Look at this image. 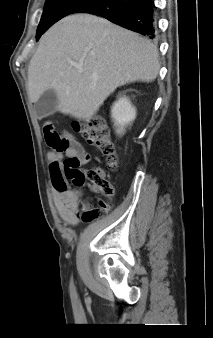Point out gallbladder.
Wrapping results in <instances>:
<instances>
[{"label":"gallbladder","instance_id":"gallbladder-1","mask_svg":"<svg viewBox=\"0 0 213 338\" xmlns=\"http://www.w3.org/2000/svg\"><path fill=\"white\" fill-rule=\"evenodd\" d=\"M58 102L57 94L53 89L45 91L34 104L37 117L44 118L53 114L56 111Z\"/></svg>","mask_w":213,"mask_h":338}]
</instances>
